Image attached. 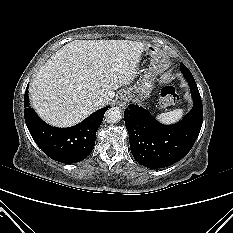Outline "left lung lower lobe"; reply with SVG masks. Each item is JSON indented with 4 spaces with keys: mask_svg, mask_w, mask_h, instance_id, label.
<instances>
[{
    "mask_svg": "<svg viewBox=\"0 0 233 233\" xmlns=\"http://www.w3.org/2000/svg\"><path fill=\"white\" fill-rule=\"evenodd\" d=\"M187 81L194 106L176 124L163 125L138 105L131 104L125 110L130 149L139 164L152 169L164 168L181 160L193 147L203 122V106L195 80Z\"/></svg>",
    "mask_w": 233,
    "mask_h": 233,
    "instance_id": "left-lung-lower-lobe-1",
    "label": "left lung lower lobe"
}]
</instances>
